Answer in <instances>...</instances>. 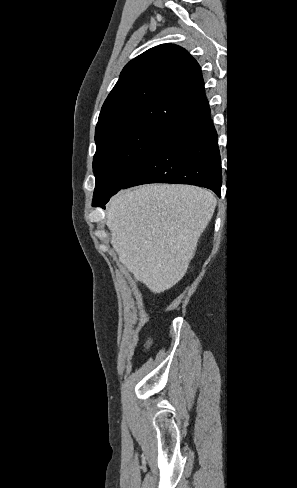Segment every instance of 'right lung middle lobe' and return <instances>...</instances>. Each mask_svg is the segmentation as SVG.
<instances>
[{"mask_svg":"<svg viewBox=\"0 0 297 488\" xmlns=\"http://www.w3.org/2000/svg\"><path fill=\"white\" fill-rule=\"evenodd\" d=\"M171 129L140 126L96 144L93 158L95 190L92 206H100L129 181Z\"/></svg>","mask_w":297,"mask_h":488,"instance_id":"obj_1","label":"right lung middle lobe"}]
</instances>
